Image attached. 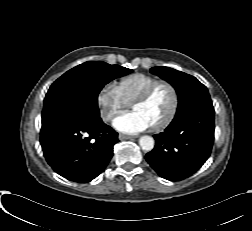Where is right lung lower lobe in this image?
I'll list each match as a JSON object with an SVG mask.
<instances>
[{"label":"right lung lower lobe","mask_w":252,"mask_h":231,"mask_svg":"<svg viewBox=\"0 0 252 231\" xmlns=\"http://www.w3.org/2000/svg\"><path fill=\"white\" fill-rule=\"evenodd\" d=\"M118 133L100 117L60 113L42 121L40 143L48 164L64 178L86 183L113 155Z\"/></svg>","instance_id":"obj_1"}]
</instances>
